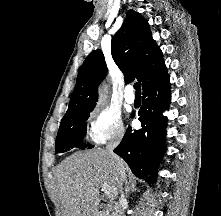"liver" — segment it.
<instances>
[{
  "instance_id": "6515ba94",
  "label": "liver",
  "mask_w": 221,
  "mask_h": 216,
  "mask_svg": "<svg viewBox=\"0 0 221 216\" xmlns=\"http://www.w3.org/2000/svg\"><path fill=\"white\" fill-rule=\"evenodd\" d=\"M56 180L62 216H97L99 189L111 190L114 198L123 190L116 162L104 149L67 157L56 169Z\"/></svg>"
}]
</instances>
